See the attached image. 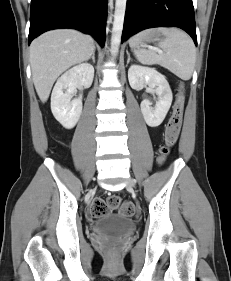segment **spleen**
<instances>
[{"label":"spleen","mask_w":231,"mask_h":281,"mask_svg":"<svg viewBox=\"0 0 231 281\" xmlns=\"http://www.w3.org/2000/svg\"><path fill=\"white\" fill-rule=\"evenodd\" d=\"M159 33L165 38L158 43L164 53L146 49L141 37ZM138 61L143 64H158L168 69L182 80H189L193 74L196 62V48L192 39L183 31L176 28L149 29L129 40Z\"/></svg>","instance_id":"1"}]
</instances>
